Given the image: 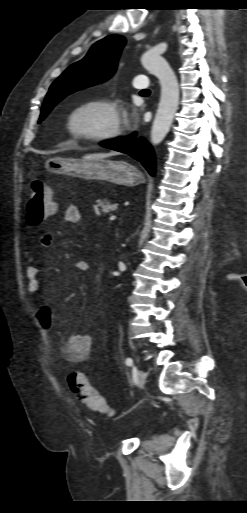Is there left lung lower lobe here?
<instances>
[{
  "label": "left lung lower lobe",
  "instance_id": "obj_1",
  "mask_svg": "<svg viewBox=\"0 0 247 513\" xmlns=\"http://www.w3.org/2000/svg\"><path fill=\"white\" fill-rule=\"evenodd\" d=\"M100 145L129 154L140 161L151 175L155 174V155L153 149L144 139H136L135 133L109 142L103 141Z\"/></svg>",
  "mask_w": 247,
  "mask_h": 513
}]
</instances>
